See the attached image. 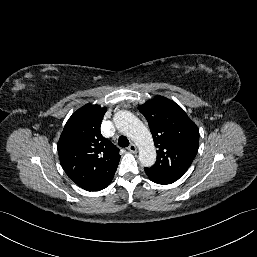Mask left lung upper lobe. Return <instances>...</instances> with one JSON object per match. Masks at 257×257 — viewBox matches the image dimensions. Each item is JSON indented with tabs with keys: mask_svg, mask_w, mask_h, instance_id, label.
Segmentation results:
<instances>
[{
	"mask_svg": "<svg viewBox=\"0 0 257 257\" xmlns=\"http://www.w3.org/2000/svg\"><path fill=\"white\" fill-rule=\"evenodd\" d=\"M150 126L156 163L146 173L175 182L190 167L199 145V130L174 101L157 96L138 107Z\"/></svg>",
	"mask_w": 257,
	"mask_h": 257,
	"instance_id": "obj_1",
	"label": "left lung upper lobe"
}]
</instances>
